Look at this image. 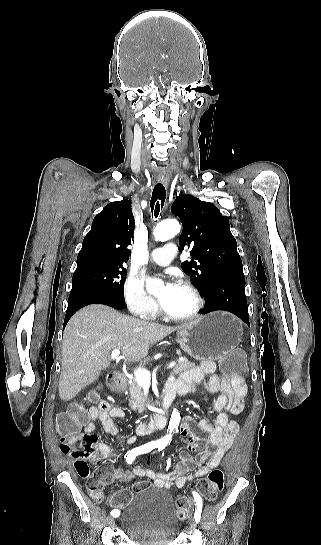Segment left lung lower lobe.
I'll return each mask as SVG.
<instances>
[{"label":"left lung lower lobe","instance_id":"1","mask_svg":"<svg viewBox=\"0 0 321 545\" xmlns=\"http://www.w3.org/2000/svg\"><path fill=\"white\" fill-rule=\"evenodd\" d=\"M202 294L206 304L201 313L205 314L216 310L229 311L250 326L243 269L216 276Z\"/></svg>","mask_w":321,"mask_h":545}]
</instances>
